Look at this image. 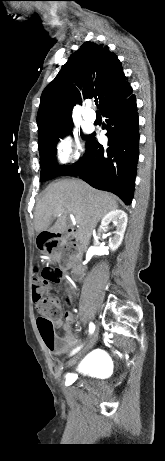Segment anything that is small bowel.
<instances>
[{"instance_id": "1", "label": "small bowel", "mask_w": 165, "mask_h": 461, "mask_svg": "<svg viewBox=\"0 0 165 461\" xmlns=\"http://www.w3.org/2000/svg\"><path fill=\"white\" fill-rule=\"evenodd\" d=\"M71 261V263H69ZM81 261L80 256H66L64 260L59 261V266L62 271H71V276L73 278H79L81 276V270H85L87 265L85 263L79 264ZM59 289L63 288L62 284L58 285ZM74 295H63V302L67 308H70L74 302ZM74 322V316L70 312H66L64 319L54 320V326L57 328H62L64 330V336L57 339L56 346L51 351L57 355L63 354L68 350L77 346L80 342L77 335L73 332L71 325Z\"/></svg>"}]
</instances>
